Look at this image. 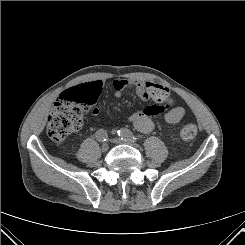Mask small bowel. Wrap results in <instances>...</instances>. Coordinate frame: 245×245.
I'll return each instance as SVG.
<instances>
[{
    "label": "small bowel",
    "mask_w": 245,
    "mask_h": 245,
    "mask_svg": "<svg viewBox=\"0 0 245 245\" xmlns=\"http://www.w3.org/2000/svg\"><path fill=\"white\" fill-rule=\"evenodd\" d=\"M101 85L100 81H95ZM114 96L119 98L126 90L133 89L142 100H152L155 103L143 110H137L129 116V121L142 133L151 132L156 126V115L162 114V120L166 124H176L186 114L185 108L175 106L176 97L169 89L152 82L116 79L113 81ZM92 114L97 116L99 109L93 108Z\"/></svg>",
    "instance_id": "small-bowel-1"
}]
</instances>
